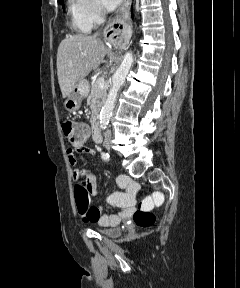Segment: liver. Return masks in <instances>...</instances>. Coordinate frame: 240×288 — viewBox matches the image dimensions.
Returning a JSON list of instances; mask_svg holds the SVG:
<instances>
[{"label":"liver","mask_w":240,"mask_h":288,"mask_svg":"<svg viewBox=\"0 0 240 288\" xmlns=\"http://www.w3.org/2000/svg\"><path fill=\"white\" fill-rule=\"evenodd\" d=\"M107 53L104 43L94 36L68 35L61 41L57 75L63 98L69 97L74 86L99 67Z\"/></svg>","instance_id":"obj_1"}]
</instances>
